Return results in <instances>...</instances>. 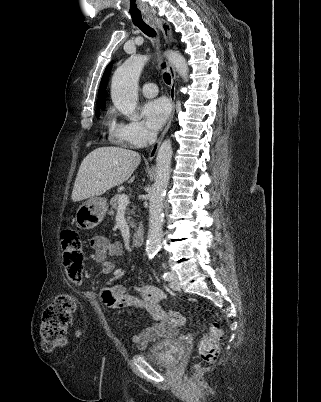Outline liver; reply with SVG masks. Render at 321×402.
Here are the masks:
<instances>
[{
    "mask_svg": "<svg viewBox=\"0 0 321 402\" xmlns=\"http://www.w3.org/2000/svg\"><path fill=\"white\" fill-rule=\"evenodd\" d=\"M140 161V154L133 150L119 147L94 149L79 167L71 195L73 202L102 195L127 181ZM134 178H130L129 182H133Z\"/></svg>",
    "mask_w": 321,
    "mask_h": 402,
    "instance_id": "6515ba94",
    "label": "liver"
}]
</instances>
